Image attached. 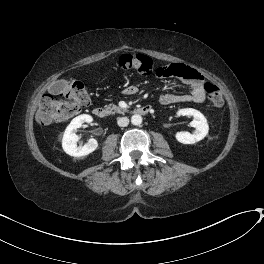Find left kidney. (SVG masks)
Segmentation results:
<instances>
[{"instance_id":"1","label":"left kidney","mask_w":264,"mask_h":264,"mask_svg":"<svg viewBox=\"0 0 264 264\" xmlns=\"http://www.w3.org/2000/svg\"><path fill=\"white\" fill-rule=\"evenodd\" d=\"M178 115L192 116L191 127L195 128V131L191 134L189 132H177L176 139L183 144H194L202 140L209 131V125L205 116L198 110L193 108L180 109Z\"/></svg>"}]
</instances>
